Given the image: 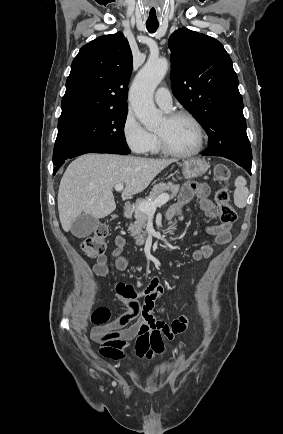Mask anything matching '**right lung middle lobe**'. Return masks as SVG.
<instances>
[{
    "instance_id": "right-lung-middle-lobe-1",
    "label": "right lung middle lobe",
    "mask_w": 283,
    "mask_h": 434,
    "mask_svg": "<svg viewBox=\"0 0 283 434\" xmlns=\"http://www.w3.org/2000/svg\"><path fill=\"white\" fill-rule=\"evenodd\" d=\"M127 109L74 113L61 116L53 151L54 165L89 149L129 154L124 136Z\"/></svg>"
}]
</instances>
